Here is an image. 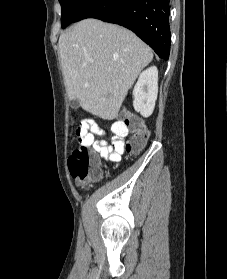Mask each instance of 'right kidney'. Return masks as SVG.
<instances>
[{"label":"right kidney","instance_id":"right-kidney-1","mask_svg":"<svg viewBox=\"0 0 227 279\" xmlns=\"http://www.w3.org/2000/svg\"><path fill=\"white\" fill-rule=\"evenodd\" d=\"M158 94V70L152 66L144 70L133 90V106L143 117H149L154 110Z\"/></svg>","mask_w":227,"mask_h":279}]
</instances>
